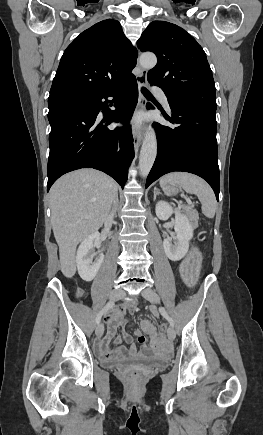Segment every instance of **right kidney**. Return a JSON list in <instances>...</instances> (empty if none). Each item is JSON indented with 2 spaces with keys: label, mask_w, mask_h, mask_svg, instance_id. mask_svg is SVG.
<instances>
[{
  "label": "right kidney",
  "mask_w": 263,
  "mask_h": 435,
  "mask_svg": "<svg viewBox=\"0 0 263 435\" xmlns=\"http://www.w3.org/2000/svg\"><path fill=\"white\" fill-rule=\"evenodd\" d=\"M100 246V235L98 232H93L82 241L78 248L76 256L78 273L87 282L95 278L104 260V255L100 254L93 262L97 254L95 248H100Z\"/></svg>",
  "instance_id": "right-kidney-1"
}]
</instances>
